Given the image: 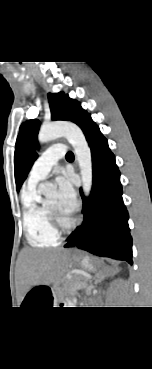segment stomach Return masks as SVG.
<instances>
[{"label":"stomach","mask_w":152,"mask_h":369,"mask_svg":"<svg viewBox=\"0 0 152 369\" xmlns=\"http://www.w3.org/2000/svg\"><path fill=\"white\" fill-rule=\"evenodd\" d=\"M81 263L82 265L85 267V268H88V269H92V265L89 263V258L88 257H84L82 260H81Z\"/></svg>","instance_id":"obj_1"}]
</instances>
